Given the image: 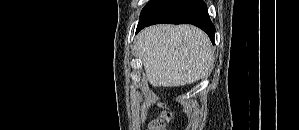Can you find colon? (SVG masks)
Segmentation results:
<instances>
[{
	"label": "colon",
	"instance_id": "obj_1",
	"mask_svg": "<svg viewBox=\"0 0 299 130\" xmlns=\"http://www.w3.org/2000/svg\"><path fill=\"white\" fill-rule=\"evenodd\" d=\"M171 117L172 115L169 111L163 110L161 114L152 122L151 130H165V126Z\"/></svg>",
	"mask_w": 299,
	"mask_h": 130
}]
</instances>
